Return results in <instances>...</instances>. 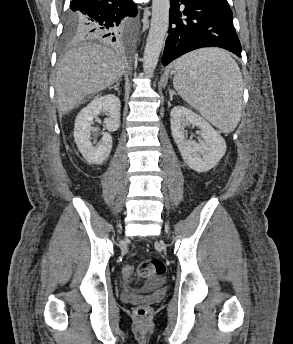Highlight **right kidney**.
Instances as JSON below:
<instances>
[{
  "instance_id": "right-kidney-1",
  "label": "right kidney",
  "mask_w": 293,
  "mask_h": 344,
  "mask_svg": "<svg viewBox=\"0 0 293 344\" xmlns=\"http://www.w3.org/2000/svg\"><path fill=\"white\" fill-rule=\"evenodd\" d=\"M120 100L113 94L95 97L84 107L76 117L74 139L77 147L85 160L90 164H102L109 156L112 149V137L104 133L97 146L91 142L93 120L104 113L108 117L104 124L109 132L116 131L120 126Z\"/></svg>"
}]
</instances>
